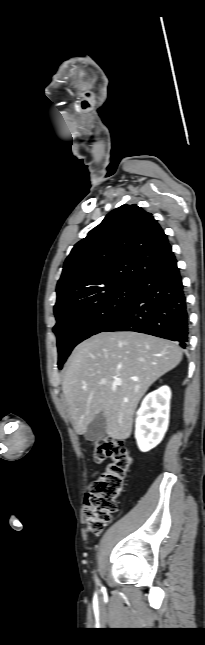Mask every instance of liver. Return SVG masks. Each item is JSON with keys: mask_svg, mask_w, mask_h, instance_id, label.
Here are the masks:
<instances>
[{"mask_svg": "<svg viewBox=\"0 0 205 645\" xmlns=\"http://www.w3.org/2000/svg\"><path fill=\"white\" fill-rule=\"evenodd\" d=\"M181 360L176 343L137 332H101L81 342L68 359L62 383L75 432L84 434L101 414L109 437L129 438L140 399Z\"/></svg>", "mask_w": 205, "mask_h": 645, "instance_id": "6515ba94", "label": "liver"}]
</instances>
